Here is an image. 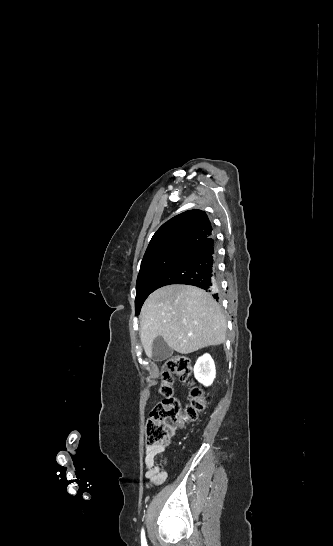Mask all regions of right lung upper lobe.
I'll return each instance as SVG.
<instances>
[{"label": "right lung upper lobe", "mask_w": 333, "mask_h": 546, "mask_svg": "<svg viewBox=\"0 0 333 546\" xmlns=\"http://www.w3.org/2000/svg\"><path fill=\"white\" fill-rule=\"evenodd\" d=\"M211 235L213 227L207 214L198 209L188 210L171 218L156 231L143 259L168 248H192Z\"/></svg>", "instance_id": "cb5924a9"}]
</instances>
